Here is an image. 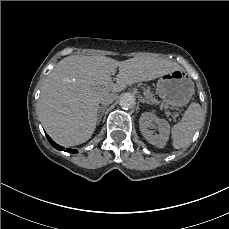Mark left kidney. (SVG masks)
Returning a JSON list of instances; mask_svg holds the SVG:
<instances>
[{
  "label": "left kidney",
  "instance_id": "1",
  "mask_svg": "<svg viewBox=\"0 0 229 229\" xmlns=\"http://www.w3.org/2000/svg\"><path fill=\"white\" fill-rule=\"evenodd\" d=\"M153 122L158 124L159 135H153L148 130V128L153 127ZM139 124L143 136L149 143L158 148H163L166 145L170 133V125L166 120L159 119L154 114L146 112L141 115Z\"/></svg>",
  "mask_w": 229,
  "mask_h": 229
}]
</instances>
